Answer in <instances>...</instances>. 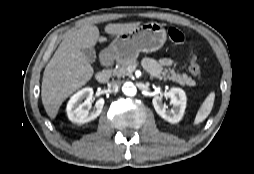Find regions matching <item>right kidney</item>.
<instances>
[{
  "mask_svg": "<svg viewBox=\"0 0 254 174\" xmlns=\"http://www.w3.org/2000/svg\"><path fill=\"white\" fill-rule=\"evenodd\" d=\"M93 89L90 87L83 88L75 93L68 101L66 112L68 118L78 124H84L96 119L102 112L104 99L100 98L96 101L94 109L91 108ZM85 99L84 102L82 100Z\"/></svg>",
  "mask_w": 254,
  "mask_h": 174,
  "instance_id": "ca27d5eb",
  "label": "right kidney"
}]
</instances>
